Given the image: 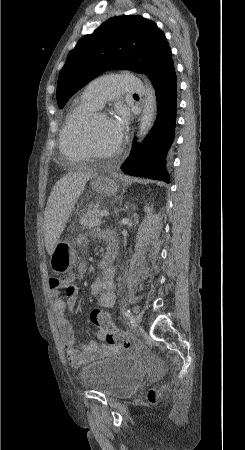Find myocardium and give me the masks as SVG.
Returning <instances> with one entry per match:
<instances>
[{"instance_id": "f54148a6", "label": "myocardium", "mask_w": 245, "mask_h": 450, "mask_svg": "<svg viewBox=\"0 0 245 450\" xmlns=\"http://www.w3.org/2000/svg\"><path fill=\"white\" fill-rule=\"evenodd\" d=\"M86 147L88 149L89 155L91 158H108V157H115L119 156L122 153V147L119 146L115 151L113 152H104L100 150L94 140V134H93V118H89L87 125H86Z\"/></svg>"}]
</instances>
